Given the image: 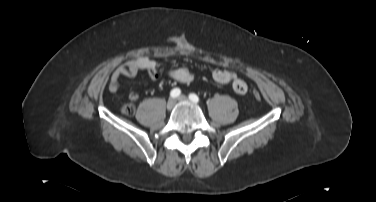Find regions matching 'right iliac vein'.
<instances>
[{
	"label": "right iliac vein",
	"mask_w": 376,
	"mask_h": 202,
	"mask_svg": "<svg viewBox=\"0 0 376 202\" xmlns=\"http://www.w3.org/2000/svg\"><path fill=\"white\" fill-rule=\"evenodd\" d=\"M175 103H176L175 99L170 98L167 102V109L171 110L175 106Z\"/></svg>",
	"instance_id": "1"
}]
</instances>
